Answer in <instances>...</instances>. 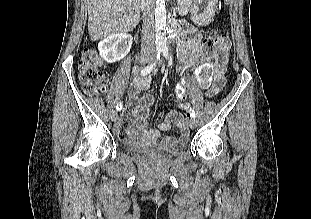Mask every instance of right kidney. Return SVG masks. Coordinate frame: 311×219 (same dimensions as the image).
Masks as SVG:
<instances>
[{
	"label": "right kidney",
	"mask_w": 311,
	"mask_h": 219,
	"mask_svg": "<svg viewBox=\"0 0 311 219\" xmlns=\"http://www.w3.org/2000/svg\"><path fill=\"white\" fill-rule=\"evenodd\" d=\"M132 38L126 33L109 35L98 44L100 56L108 63L123 59L130 51Z\"/></svg>",
	"instance_id": "ca27d5eb"
}]
</instances>
